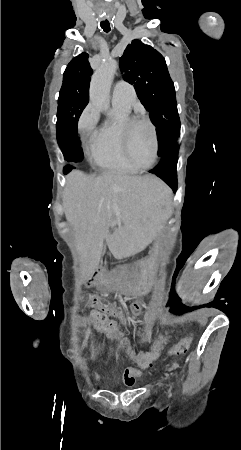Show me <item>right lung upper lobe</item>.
Listing matches in <instances>:
<instances>
[{
	"label": "right lung upper lobe",
	"instance_id": "1",
	"mask_svg": "<svg viewBox=\"0 0 241 450\" xmlns=\"http://www.w3.org/2000/svg\"><path fill=\"white\" fill-rule=\"evenodd\" d=\"M92 72L88 62V54L82 53L73 58L68 64L63 75V82L82 77H90Z\"/></svg>",
	"mask_w": 241,
	"mask_h": 450
}]
</instances>
